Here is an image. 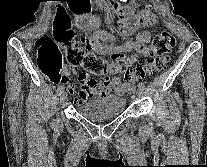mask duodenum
Returning <instances> with one entry per match:
<instances>
[{"label": "duodenum", "instance_id": "410a0bca", "mask_svg": "<svg viewBox=\"0 0 207 167\" xmlns=\"http://www.w3.org/2000/svg\"><path fill=\"white\" fill-rule=\"evenodd\" d=\"M109 6L116 8V6H117V0H109Z\"/></svg>", "mask_w": 207, "mask_h": 167}]
</instances>
